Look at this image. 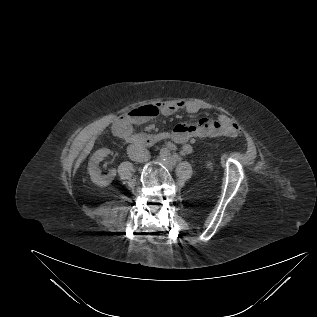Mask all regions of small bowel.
I'll list each match as a JSON object with an SVG mask.
<instances>
[{"instance_id":"small-bowel-1","label":"small bowel","mask_w":317,"mask_h":317,"mask_svg":"<svg viewBox=\"0 0 317 317\" xmlns=\"http://www.w3.org/2000/svg\"><path fill=\"white\" fill-rule=\"evenodd\" d=\"M158 107L163 116H170L178 111H186L189 114H196L201 110L199 104L194 101H162ZM136 122L129 117L120 119L116 126L121 132L130 133ZM239 127L232 123L227 116H220L214 119L209 115L202 116L196 124L181 123L174 127L171 132V140L174 143L181 144V150L185 154L192 152L193 147L191 139L194 137H216V136H236ZM169 148L174 150L173 143L169 144Z\"/></svg>"}]
</instances>
